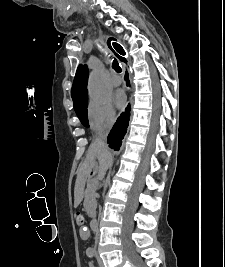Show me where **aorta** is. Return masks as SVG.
<instances>
[{
  "instance_id": "1",
  "label": "aorta",
  "mask_w": 225,
  "mask_h": 267,
  "mask_svg": "<svg viewBox=\"0 0 225 267\" xmlns=\"http://www.w3.org/2000/svg\"><path fill=\"white\" fill-rule=\"evenodd\" d=\"M88 91L91 100L95 102H103L109 97L107 85L96 71H93L89 76Z\"/></svg>"
}]
</instances>
